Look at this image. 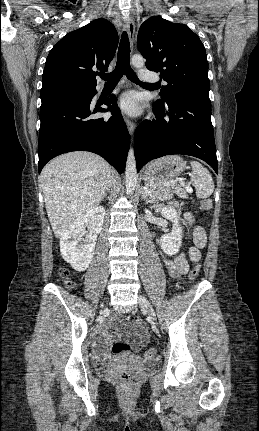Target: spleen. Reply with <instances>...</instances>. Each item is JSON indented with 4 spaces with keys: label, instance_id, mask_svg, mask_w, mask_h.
<instances>
[{
    "label": "spleen",
    "instance_id": "spleen-1",
    "mask_svg": "<svg viewBox=\"0 0 259 431\" xmlns=\"http://www.w3.org/2000/svg\"><path fill=\"white\" fill-rule=\"evenodd\" d=\"M192 167L191 183L196 189V196L204 199L212 195L214 182L208 169L197 161L190 162Z\"/></svg>",
    "mask_w": 259,
    "mask_h": 431
}]
</instances>
